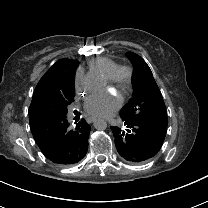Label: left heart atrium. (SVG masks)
<instances>
[{
    "mask_svg": "<svg viewBox=\"0 0 208 208\" xmlns=\"http://www.w3.org/2000/svg\"><path fill=\"white\" fill-rule=\"evenodd\" d=\"M82 106L91 115L107 116L116 108V103L111 99L91 94L83 101Z\"/></svg>",
    "mask_w": 208,
    "mask_h": 208,
    "instance_id": "left-heart-atrium-1",
    "label": "left heart atrium"
}]
</instances>
